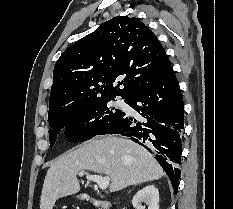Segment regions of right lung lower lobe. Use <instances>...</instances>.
<instances>
[{
  "instance_id": "1",
  "label": "right lung lower lobe",
  "mask_w": 233,
  "mask_h": 209,
  "mask_svg": "<svg viewBox=\"0 0 233 209\" xmlns=\"http://www.w3.org/2000/svg\"><path fill=\"white\" fill-rule=\"evenodd\" d=\"M139 114L121 118L100 133L121 134L154 153L167 173L175 194L178 191L181 165V137L184 128V105L180 87L171 67L154 85L125 99Z\"/></svg>"
}]
</instances>
